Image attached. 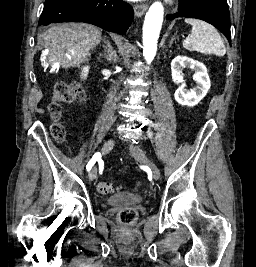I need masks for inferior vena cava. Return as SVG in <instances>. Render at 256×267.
Returning <instances> with one entry per match:
<instances>
[{
  "mask_svg": "<svg viewBox=\"0 0 256 267\" xmlns=\"http://www.w3.org/2000/svg\"><path fill=\"white\" fill-rule=\"evenodd\" d=\"M108 54H109L108 60H115V58H116L115 52H108Z\"/></svg>",
  "mask_w": 256,
  "mask_h": 267,
  "instance_id": "1",
  "label": "inferior vena cava"
}]
</instances>
